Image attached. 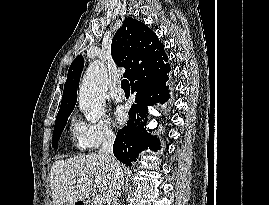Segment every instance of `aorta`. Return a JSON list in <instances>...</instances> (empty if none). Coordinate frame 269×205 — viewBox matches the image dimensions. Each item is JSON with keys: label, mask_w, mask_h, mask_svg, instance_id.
I'll return each instance as SVG.
<instances>
[{"label": "aorta", "mask_w": 269, "mask_h": 205, "mask_svg": "<svg viewBox=\"0 0 269 205\" xmlns=\"http://www.w3.org/2000/svg\"><path fill=\"white\" fill-rule=\"evenodd\" d=\"M106 90V69L101 62L94 61L84 75L79 92V107L91 123L105 114Z\"/></svg>", "instance_id": "1"}]
</instances>
